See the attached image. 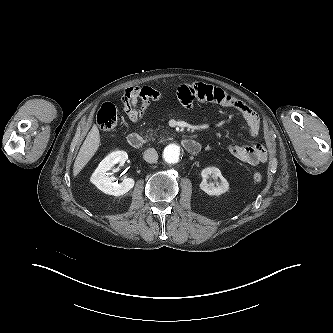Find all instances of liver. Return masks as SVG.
<instances>
[{
	"label": "liver",
	"instance_id": "obj_1",
	"mask_svg": "<svg viewBox=\"0 0 333 333\" xmlns=\"http://www.w3.org/2000/svg\"><path fill=\"white\" fill-rule=\"evenodd\" d=\"M100 134L98 127L93 125L92 129L88 133L85 141L83 142L80 151L75 159L73 167V175L77 176L85 165L94 156L99 148Z\"/></svg>",
	"mask_w": 333,
	"mask_h": 333
}]
</instances>
